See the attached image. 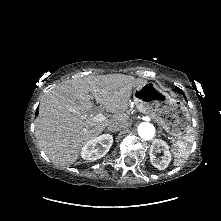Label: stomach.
I'll use <instances>...</instances> for the list:
<instances>
[{"instance_id": "stomach-1", "label": "stomach", "mask_w": 221, "mask_h": 221, "mask_svg": "<svg viewBox=\"0 0 221 221\" xmlns=\"http://www.w3.org/2000/svg\"><path fill=\"white\" fill-rule=\"evenodd\" d=\"M139 111L154 117L170 135L180 137L190 128V114L184 104L163 92L156 84L146 82L133 91Z\"/></svg>"}]
</instances>
